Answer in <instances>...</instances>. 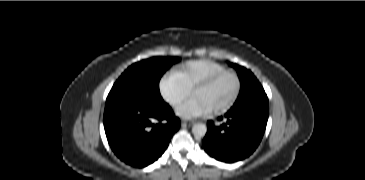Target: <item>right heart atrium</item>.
I'll use <instances>...</instances> for the list:
<instances>
[{
    "label": "right heart atrium",
    "mask_w": 365,
    "mask_h": 180,
    "mask_svg": "<svg viewBox=\"0 0 365 180\" xmlns=\"http://www.w3.org/2000/svg\"><path fill=\"white\" fill-rule=\"evenodd\" d=\"M160 91L165 100L173 105H180L186 98V94L176 84L175 75L164 77L160 82Z\"/></svg>",
    "instance_id": "right-heart-atrium-1"
}]
</instances>
